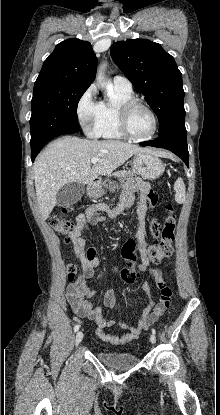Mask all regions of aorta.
Returning a JSON list of instances; mask_svg holds the SVG:
<instances>
[{"label":"aorta","instance_id":"aorta-1","mask_svg":"<svg viewBox=\"0 0 220 415\" xmlns=\"http://www.w3.org/2000/svg\"><path fill=\"white\" fill-rule=\"evenodd\" d=\"M105 64L101 65L97 71L96 80L97 83L100 84L102 87H105L106 84L104 82L105 75H104Z\"/></svg>","mask_w":220,"mask_h":415}]
</instances>
